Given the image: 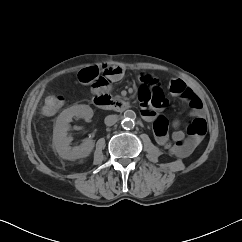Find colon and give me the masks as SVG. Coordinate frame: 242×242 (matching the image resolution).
<instances>
[{
	"instance_id": "colon-1",
	"label": "colon",
	"mask_w": 242,
	"mask_h": 242,
	"mask_svg": "<svg viewBox=\"0 0 242 242\" xmlns=\"http://www.w3.org/2000/svg\"><path fill=\"white\" fill-rule=\"evenodd\" d=\"M79 79L82 83L92 84L93 86H99L109 81L107 74L95 66L84 68L79 73ZM173 93L185 98L189 105H196L198 103V97L186 90L183 91V86L179 82H174L171 86ZM140 96L142 99L151 101L155 106H160L164 100L163 92L158 85L157 81L151 76H145L141 80ZM63 103V97L55 92H49L44 99L43 109L47 114L54 113L58 110ZM157 130L162 128V124H158L155 127ZM199 133L204 135L206 133V127L201 122H196L194 128L188 129L189 134Z\"/></svg>"
}]
</instances>
